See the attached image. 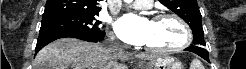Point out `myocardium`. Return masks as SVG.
I'll return each instance as SVG.
<instances>
[{
  "mask_svg": "<svg viewBox=\"0 0 246 69\" xmlns=\"http://www.w3.org/2000/svg\"><path fill=\"white\" fill-rule=\"evenodd\" d=\"M163 19H172L182 28L183 33H184L183 40L179 44L173 47H168V48H155V47H151L147 45H145V47L149 50L159 52V53H171V52L180 51V50L187 48L191 44V41H192V33L187 23L181 17L173 13L156 14L152 18V21L163 20Z\"/></svg>",
  "mask_w": 246,
  "mask_h": 69,
  "instance_id": "obj_1",
  "label": "myocardium"
}]
</instances>
